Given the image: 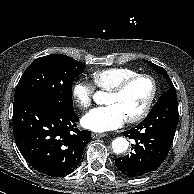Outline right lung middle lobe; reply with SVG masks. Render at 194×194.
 Wrapping results in <instances>:
<instances>
[{
	"label": "right lung middle lobe",
	"instance_id": "dd1d6c3e",
	"mask_svg": "<svg viewBox=\"0 0 194 194\" xmlns=\"http://www.w3.org/2000/svg\"><path fill=\"white\" fill-rule=\"evenodd\" d=\"M86 65L66 55L51 54L34 60L16 87L14 100L41 96L56 103L72 102V84Z\"/></svg>",
	"mask_w": 194,
	"mask_h": 194
}]
</instances>
